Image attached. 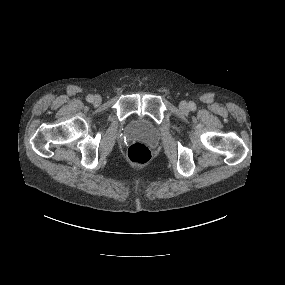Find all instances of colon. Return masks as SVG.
<instances>
[{
  "instance_id": "5ec220e1",
  "label": "colon",
  "mask_w": 285,
  "mask_h": 285,
  "mask_svg": "<svg viewBox=\"0 0 285 285\" xmlns=\"http://www.w3.org/2000/svg\"><path fill=\"white\" fill-rule=\"evenodd\" d=\"M127 157L129 162L134 165H144L149 161L151 151L145 144L134 142L128 149Z\"/></svg>"
}]
</instances>
